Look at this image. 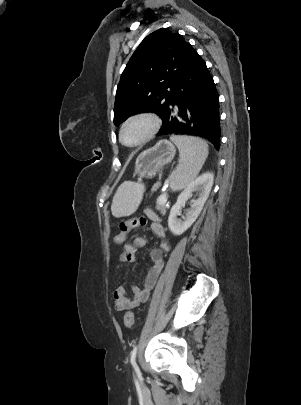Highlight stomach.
<instances>
[{
	"label": "stomach",
	"instance_id": "1",
	"mask_svg": "<svg viewBox=\"0 0 301 405\" xmlns=\"http://www.w3.org/2000/svg\"><path fill=\"white\" fill-rule=\"evenodd\" d=\"M175 153V146L171 142L159 141L152 148L139 154L135 162V175L140 180L154 177L165 164L173 159Z\"/></svg>",
	"mask_w": 301,
	"mask_h": 405
}]
</instances>
